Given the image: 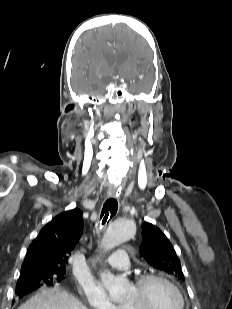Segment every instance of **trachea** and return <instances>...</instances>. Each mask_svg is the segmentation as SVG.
<instances>
[{"mask_svg": "<svg viewBox=\"0 0 232 309\" xmlns=\"http://www.w3.org/2000/svg\"><path fill=\"white\" fill-rule=\"evenodd\" d=\"M118 210V202L116 199L109 198L103 205L101 217L102 225L111 219Z\"/></svg>", "mask_w": 232, "mask_h": 309, "instance_id": "obj_1", "label": "trachea"}]
</instances>
